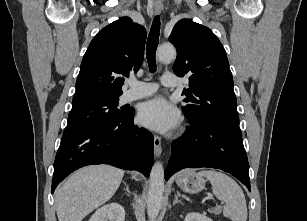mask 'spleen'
<instances>
[{
    "mask_svg": "<svg viewBox=\"0 0 307 221\" xmlns=\"http://www.w3.org/2000/svg\"><path fill=\"white\" fill-rule=\"evenodd\" d=\"M200 176L206 177L211 185L213 194L226 202L223 215L232 221L247 220V205L241 187L228 175L215 170H202Z\"/></svg>",
    "mask_w": 307,
    "mask_h": 221,
    "instance_id": "3e777b00",
    "label": "spleen"
}]
</instances>
